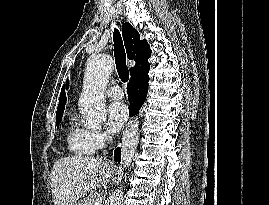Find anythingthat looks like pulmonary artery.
<instances>
[{
  "mask_svg": "<svg viewBox=\"0 0 269 205\" xmlns=\"http://www.w3.org/2000/svg\"><path fill=\"white\" fill-rule=\"evenodd\" d=\"M108 97L114 100H121L124 97V93L119 86H113L107 91Z\"/></svg>",
  "mask_w": 269,
  "mask_h": 205,
  "instance_id": "obj_1",
  "label": "pulmonary artery"
}]
</instances>
